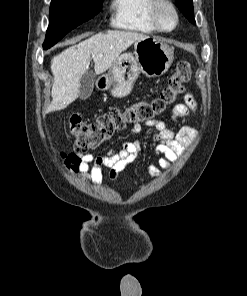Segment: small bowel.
Listing matches in <instances>:
<instances>
[{
  "mask_svg": "<svg viewBox=\"0 0 247 296\" xmlns=\"http://www.w3.org/2000/svg\"><path fill=\"white\" fill-rule=\"evenodd\" d=\"M197 110V102L191 92L184 95V103L174 106L168 123L159 120H151L146 125L153 127L155 133L152 137V144L156 159L148 164L147 171L151 178L161 175V169L172 167L184 152L187 145L196 137V130L190 126H183L175 129L179 119L188 117ZM141 124L132 125V134L141 131ZM142 148V141H128L118 149H111L100 155L83 154L80 156L78 173L93 184L100 185L103 181V168H109V178L115 181L121 171L133 163L139 156ZM136 175L139 177L138 171Z\"/></svg>",
  "mask_w": 247,
  "mask_h": 296,
  "instance_id": "obj_1",
  "label": "small bowel"
}]
</instances>
